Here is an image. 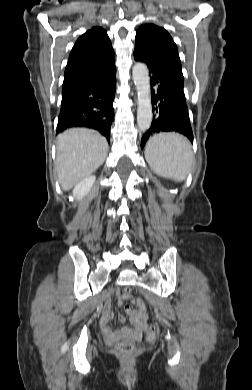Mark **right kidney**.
Listing matches in <instances>:
<instances>
[{
	"label": "right kidney",
	"instance_id": "1",
	"mask_svg": "<svg viewBox=\"0 0 252 390\" xmlns=\"http://www.w3.org/2000/svg\"><path fill=\"white\" fill-rule=\"evenodd\" d=\"M96 180L95 176H89L77 183L73 189V196L80 200L82 199L92 188Z\"/></svg>",
	"mask_w": 252,
	"mask_h": 390
}]
</instances>
